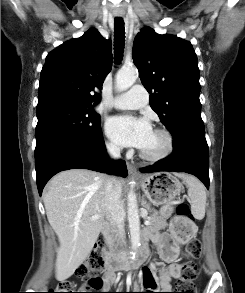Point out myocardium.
I'll return each mask as SVG.
<instances>
[{
    "label": "myocardium",
    "mask_w": 245,
    "mask_h": 293,
    "mask_svg": "<svg viewBox=\"0 0 245 293\" xmlns=\"http://www.w3.org/2000/svg\"><path fill=\"white\" fill-rule=\"evenodd\" d=\"M154 132L160 133L164 136L165 148L163 149L162 152H160L159 154H155V155L147 154L141 150L139 153L140 157L142 159H144L146 161H150V162L161 161V160L167 158L168 156L171 155V153L174 150V146H175L174 137L168 129L163 128V127H158L154 130Z\"/></svg>",
    "instance_id": "obj_1"
}]
</instances>
